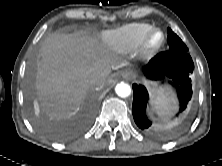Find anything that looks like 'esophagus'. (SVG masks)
Here are the masks:
<instances>
[{
    "instance_id": "esophagus-1",
    "label": "esophagus",
    "mask_w": 222,
    "mask_h": 166,
    "mask_svg": "<svg viewBox=\"0 0 222 166\" xmlns=\"http://www.w3.org/2000/svg\"><path fill=\"white\" fill-rule=\"evenodd\" d=\"M121 76L123 78H130L132 76V73L128 70H124V71L121 72Z\"/></svg>"
}]
</instances>
